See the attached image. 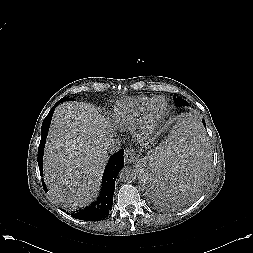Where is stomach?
Segmentation results:
<instances>
[{"label":"stomach","mask_w":253,"mask_h":253,"mask_svg":"<svg viewBox=\"0 0 253 253\" xmlns=\"http://www.w3.org/2000/svg\"><path fill=\"white\" fill-rule=\"evenodd\" d=\"M154 153L155 152L153 153L149 152L147 156L142 158L137 164L139 169V177L141 180H143L144 178V172L146 171L148 165L154 160Z\"/></svg>","instance_id":"obj_1"}]
</instances>
